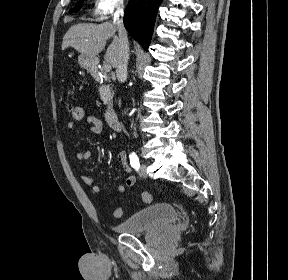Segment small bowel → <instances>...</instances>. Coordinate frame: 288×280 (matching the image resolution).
<instances>
[{
	"label": "small bowel",
	"instance_id": "small-bowel-1",
	"mask_svg": "<svg viewBox=\"0 0 288 280\" xmlns=\"http://www.w3.org/2000/svg\"><path fill=\"white\" fill-rule=\"evenodd\" d=\"M86 122L90 125L91 131L94 133H101L103 130V122L102 120L94 114H90L86 118ZM68 128L73 129L74 123L69 122ZM76 158L81 161L88 160L91 157V153L89 151H80L75 154ZM116 159L119 162L122 171L126 174L125 177V185H118L114 192V196H120L125 192L126 186L133 187L136 183L135 176L131 175V166L128 162V155L124 150H119L116 153ZM82 181L91 187V191L94 195H99L102 192L101 187L97 184V180L95 178L83 175L81 177Z\"/></svg>",
	"mask_w": 288,
	"mask_h": 280
}]
</instances>
